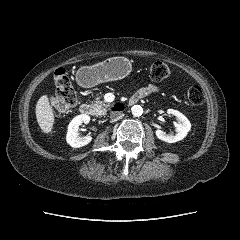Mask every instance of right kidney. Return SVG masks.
<instances>
[{
  "instance_id": "right-kidney-1",
  "label": "right kidney",
  "mask_w": 240,
  "mask_h": 240,
  "mask_svg": "<svg viewBox=\"0 0 240 240\" xmlns=\"http://www.w3.org/2000/svg\"><path fill=\"white\" fill-rule=\"evenodd\" d=\"M90 121V116L87 114H81L72 119L68 125V132L66 135L67 143L73 148H80L89 144L92 137L89 135L81 136L78 132L79 125L82 123L87 124Z\"/></svg>"
}]
</instances>
